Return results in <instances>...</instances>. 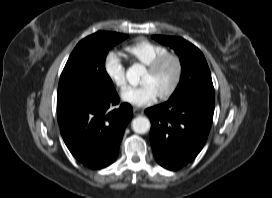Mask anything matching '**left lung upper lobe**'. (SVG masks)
Returning a JSON list of instances; mask_svg holds the SVG:
<instances>
[{"mask_svg": "<svg viewBox=\"0 0 272 198\" xmlns=\"http://www.w3.org/2000/svg\"><path fill=\"white\" fill-rule=\"evenodd\" d=\"M153 38L173 48L180 57L182 75L171 98L191 91H214L209 67L197 47L180 37L153 36Z\"/></svg>", "mask_w": 272, "mask_h": 198, "instance_id": "1", "label": "left lung upper lobe"}]
</instances>
